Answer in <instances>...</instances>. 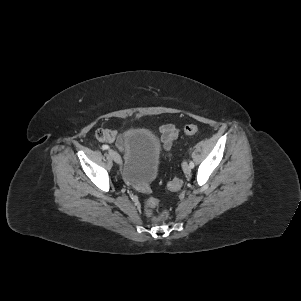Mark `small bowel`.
I'll return each mask as SVG.
<instances>
[{
    "mask_svg": "<svg viewBox=\"0 0 301 301\" xmlns=\"http://www.w3.org/2000/svg\"><path fill=\"white\" fill-rule=\"evenodd\" d=\"M179 130L177 127L171 124L164 125L160 128V141L163 148L169 150L172 146L173 141L178 137ZM118 146L122 147V141L118 139Z\"/></svg>",
    "mask_w": 301,
    "mask_h": 301,
    "instance_id": "1",
    "label": "small bowel"
}]
</instances>
